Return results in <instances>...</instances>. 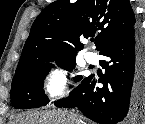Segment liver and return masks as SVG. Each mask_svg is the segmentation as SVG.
Here are the masks:
<instances>
[{
    "label": "liver",
    "mask_w": 145,
    "mask_h": 124,
    "mask_svg": "<svg viewBox=\"0 0 145 124\" xmlns=\"http://www.w3.org/2000/svg\"><path fill=\"white\" fill-rule=\"evenodd\" d=\"M78 122L80 119L67 111L49 110L26 112L19 115L14 124H81Z\"/></svg>",
    "instance_id": "1"
}]
</instances>
